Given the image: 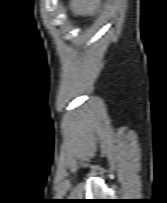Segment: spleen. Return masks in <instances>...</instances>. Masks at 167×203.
I'll return each mask as SVG.
<instances>
[{
	"instance_id": "1",
	"label": "spleen",
	"mask_w": 167,
	"mask_h": 203,
	"mask_svg": "<svg viewBox=\"0 0 167 203\" xmlns=\"http://www.w3.org/2000/svg\"><path fill=\"white\" fill-rule=\"evenodd\" d=\"M100 5V0H72L71 10L75 15H91Z\"/></svg>"
}]
</instances>
